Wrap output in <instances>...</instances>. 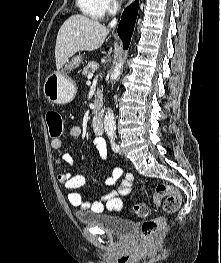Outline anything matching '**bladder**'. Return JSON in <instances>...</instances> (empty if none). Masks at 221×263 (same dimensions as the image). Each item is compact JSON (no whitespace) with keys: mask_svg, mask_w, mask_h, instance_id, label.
Here are the masks:
<instances>
[{"mask_svg":"<svg viewBox=\"0 0 221 263\" xmlns=\"http://www.w3.org/2000/svg\"><path fill=\"white\" fill-rule=\"evenodd\" d=\"M79 221L85 225H94L116 237L125 238L135 228L136 223L116 214L80 215Z\"/></svg>","mask_w":221,"mask_h":263,"instance_id":"obj_1","label":"bladder"}]
</instances>
